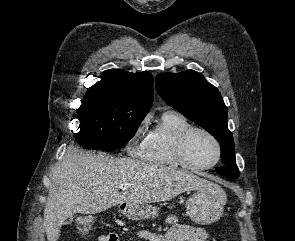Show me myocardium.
<instances>
[{"label": "myocardium", "mask_w": 295, "mask_h": 241, "mask_svg": "<svg viewBox=\"0 0 295 241\" xmlns=\"http://www.w3.org/2000/svg\"><path fill=\"white\" fill-rule=\"evenodd\" d=\"M195 132H202L205 135H207L215 144L216 149H217V156L216 159L213 163L207 165V166H199V165H194L188 161V159L185 156V147L186 144L191 137V135ZM174 156L178 163L190 170L193 171H204V170H209L214 168L221 160L222 157V147L221 143L218 140V138L208 129L199 127V126H190L189 128L185 129L177 138L175 144H174Z\"/></svg>", "instance_id": "obj_1"}]
</instances>
